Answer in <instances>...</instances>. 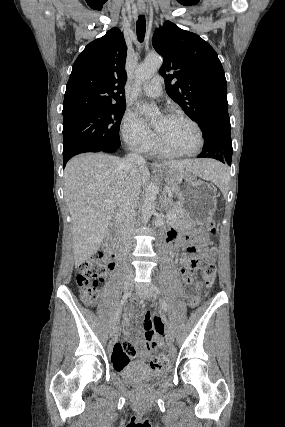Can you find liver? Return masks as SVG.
Listing matches in <instances>:
<instances>
[{"instance_id": "6515ba94", "label": "liver", "mask_w": 285, "mask_h": 427, "mask_svg": "<svg viewBox=\"0 0 285 427\" xmlns=\"http://www.w3.org/2000/svg\"><path fill=\"white\" fill-rule=\"evenodd\" d=\"M217 165L219 163L214 160L192 159L166 162L162 166L187 170L210 180ZM148 178L145 164L129 169L125 159L103 153L82 154L67 163L64 198L72 219L76 267L98 251L121 200L131 196L138 202Z\"/></svg>"}]
</instances>
